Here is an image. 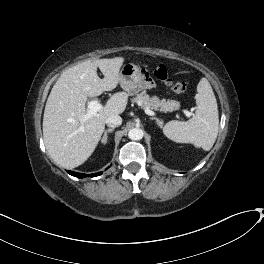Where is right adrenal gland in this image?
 Instances as JSON below:
<instances>
[{"label":"right adrenal gland","mask_w":264,"mask_h":264,"mask_svg":"<svg viewBox=\"0 0 264 264\" xmlns=\"http://www.w3.org/2000/svg\"><path fill=\"white\" fill-rule=\"evenodd\" d=\"M113 131H114V128H109V129L105 130L104 135H103V137H102V139H101V142H102L103 144H106V143H107V139H108L107 134H108V133H111V132H113Z\"/></svg>","instance_id":"1"}]
</instances>
